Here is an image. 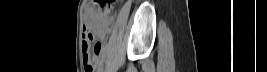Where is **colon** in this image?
<instances>
[{"instance_id":"1","label":"colon","mask_w":267,"mask_h":72,"mask_svg":"<svg viewBox=\"0 0 267 72\" xmlns=\"http://www.w3.org/2000/svg\"><path fill=\"white\" fill-rule=\"evenodd\" d=\"M116 0H95L94 5L97 7L98 11L101 13L103 21H108L114 9V4ZM91 39H88L83 52V65L85 68H94L97 65V54L100 49L99 43L93 46V51L91 52Z\"/></svg>"}]
</instances>
